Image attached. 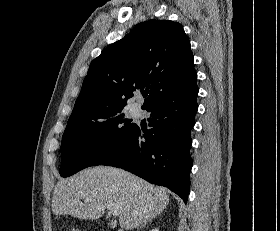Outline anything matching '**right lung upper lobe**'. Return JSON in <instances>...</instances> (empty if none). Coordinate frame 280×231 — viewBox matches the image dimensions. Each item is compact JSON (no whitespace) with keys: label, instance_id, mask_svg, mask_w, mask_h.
<instances>
[{"label":"right lung upper lobe","instance_id":"cb5924a9","mask_svg":"<svg viewBox=\"0 0 280 231\" xmlns=\"http://www.w3.org/2000/svg\"><path fill=\"white\" fill-rule=\"evenodd\" d=\"M197 87L190 41L180 23L152 19L106 47L88 70L69 118H100L125 110L134 92L150 89L142 106Z\"/></svg>","mask_w":280,"mask_h":231}]
</instances>
